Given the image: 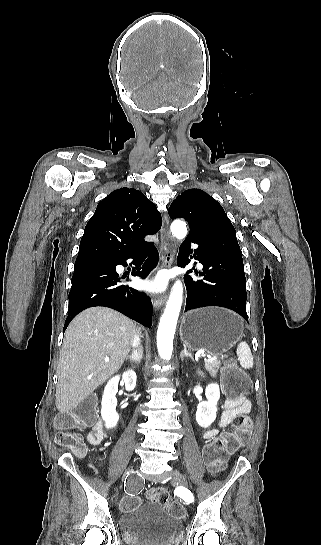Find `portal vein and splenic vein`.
I'll return each instance as SVG.
<instances>
[{"label":"portal vein and splenic vein","instance_id":"portal-vein-and-splenic-vein-1","mask_svg":"<svg viewBox=\"0 0 321 545\" xmlns=\"http://www.w3.org/2000/svg\"><path fill=\"white\" fill-rule=\"evenodd\" d=\"M205 354L206 353H200L199 355V358H203V361H206ZM104 361H110V359H104Z\"/></svg>","mask_w":321,"mask_h":545}]
</instances>
